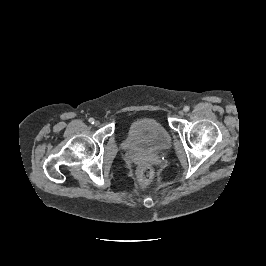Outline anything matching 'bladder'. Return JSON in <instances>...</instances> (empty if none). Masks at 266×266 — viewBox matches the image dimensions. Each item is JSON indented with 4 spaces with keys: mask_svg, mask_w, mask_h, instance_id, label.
Masks as SVG:
<instances>
[{
    "mask_svg": "<svg viewBox=\"0 0 266 266\" xmlns=\"http://www.w3.org/2000/svg\"><path fill=\"white\" fill-rule=\"evenodd\" d=\"M171 144L169 132L159 122L151 119L132 122L123 140L125 150L133 153L164 151Z\"/></svg>",
    "mask_w": 266,
    "mask_h": 266,
    "instance_id": "1",
    "label": "bladder"
}]
</instances>
